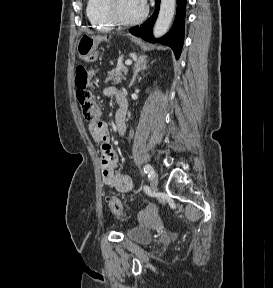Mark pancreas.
Returning <instances> with one entry per match:
<instances>
[{"instance_id":"obj_1","label":"pancreas","mask_w":273,"mask_h":288,"mask_svg":"<svg viewBox=\"0 0 273 288\" xmlns=\"http://www.w3.org/2000/svg\"><path fill=\"white\" fill-rule=\"evenodd\" d=\"M128 68L124 65H118L115 69L108 72L105 82L113 81L114 83H121L122 79H126Z\"/></svg>"}]
</instances>
